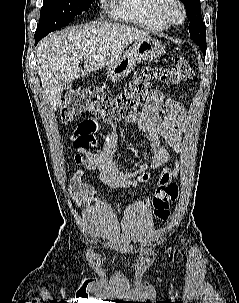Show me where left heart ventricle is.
Segmentation results:
<instances>
[{
  "label": "left heart ventricle",
  "mask_w": 239,
  "mask_h": 303,
  "mask_svg": "<svg viewBox=\"0 0 239 303\" xmlns=\"http://www.w3.org/2000/svg\"><path fill=\"white\" fill-rule=\"evenodd\" d=\"M169 12H170L171 16L175 20H179L180 19V11H179V9L175 5H172L170 7Z\"/></svg>",
  "instance_id": "1"
}]
</instances>
